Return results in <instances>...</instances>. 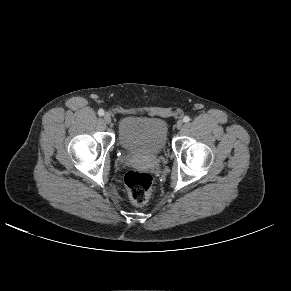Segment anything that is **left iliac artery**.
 I'll return each instance as SVG.
<instances>
[{
	"label": "left iliac artery",
	"instance_id": "obj_1",
	"mask_svg": "<svg viewBox=\"0 0 291 291\" xmlns=\"http://www.w3.org/2000/svg\"><path fill=\"white\" fill-rule=\"evenodd\" d=\"M183 121H184L185 123L189 122V121H190L189 116H185V117L183 118Z\"/></svg>",
	"mask_w": 291,
	"mask_h": 291
}]
</instances>
